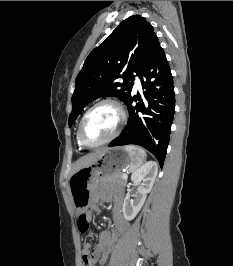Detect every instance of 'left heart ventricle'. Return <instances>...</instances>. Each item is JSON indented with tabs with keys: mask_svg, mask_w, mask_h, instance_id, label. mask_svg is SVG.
I'll use <instances>...</instances> for the list:
<instances>
[{
	"mask_svg": "<svg viewBox=\"0 0 233 266\" xmlns=\"http://www.w3.org/2000/svg\"><path fill=\"white\" fill-rule=\"evenodd\" d=\"M119 121V113L117 109L105 104L95 109L87 118L83 126V139L94 144L109 137L115 130Z\"/></svg>",
	"mask_w": 233,
	"mask_h": 266,
	"instance_id": "b2bd125f",
	"label": "left heart ventricle"
}]
</instances>
